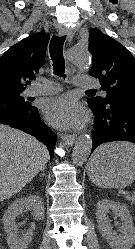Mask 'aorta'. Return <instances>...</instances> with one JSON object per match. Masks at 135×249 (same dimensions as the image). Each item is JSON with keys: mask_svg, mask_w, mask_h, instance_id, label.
Returning <instances> with one entry per match:
<instances>
[{"mask_svg": "<svg viewBox=\"0 0 135 249\" xmlns=\"http://www.w3.org/2000/svg\"><path fill=\"white\" fill-rule=\"evenodd\" d=\"M69 61L80 68H87L90 65V56L87 48L74 46L68 51ZM92 138L85 134L78 137L72 153V161L77 166H82L88 159L92 149Z\"/></svg>", "mask_w": 135, "mask_h": 249, "instance_id": "762f6f07", "label": "aorta"}]
</instances>
